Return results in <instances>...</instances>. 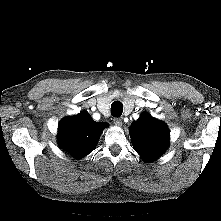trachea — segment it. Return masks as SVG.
I'll return each instance as SVG.
<instances>
[{
	"label": "trachea",
	"mask_w": 221,
	"mask_h": 221,
	"mask_svg": "<svg viewBox=\"0 0 221 221\" xmlns=\"http://www.w3.org/2000/svg\"><path fill=\"white\" fill-rule=\"evenodd\" d=\"M123 112V104L120 101H115L111 104V114L113 117H120Z\"/></svg>",
	"instance_id": "3493384b"
}]
</instances>
